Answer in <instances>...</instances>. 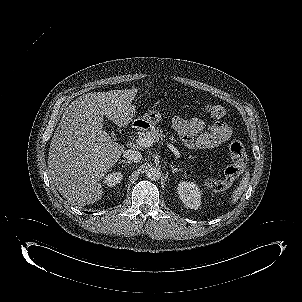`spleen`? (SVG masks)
<instances>
[{
	"mask_svg": "<svg viewBox=\"0 0 302 302\" xmlns=\"http://www.w3.org/2000/svg\"><path fill=\"white\" fill-rule=\"evenodd\" d=\"M249 181V173L246 172L245 176L243 177L241 183L239 184V187L237 189L234 190V194L232 196V203H235L242 195L243 191L245 190L247 184Z\"/></svg>",
	"mask_w": 302,
	"mask_h": 302,
	"instance_id": "1",
	"label": "spleen"
}]
</instances>
